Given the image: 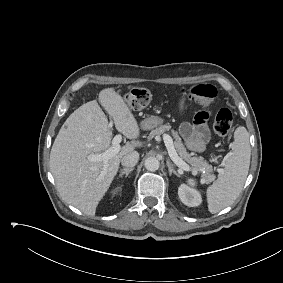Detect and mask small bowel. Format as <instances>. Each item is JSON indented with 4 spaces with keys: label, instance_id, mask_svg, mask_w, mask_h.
<instances>
[{
    "label": "small bowel",
    "instance_id": "c3829d8e",
    "mask_svg": "<svg viewBox=\"0 0 283 283\" xmlns=\"http://www.w3.org/2000/svg\"><path fill=\"white\" fill-rule=\"evenodd\" d=\"M187 101L200 102L193 96L187 95L181 101L182 108ZM207 121L208 113L201 111L195 115L193 123L183 122L180 124L179 132L188 149L194 152H202L205 149L210 136Z\"/></svg>",
    "mask_w": 283,
    "mask_h": 283
}]
</instances>
